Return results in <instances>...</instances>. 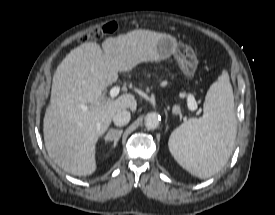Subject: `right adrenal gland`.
<instances>
[{
	"label": "right adrenal gland",
	"instance_id": "right-adrenal-gland-1",
	"mask_svg": "<svg viewBox=\"0 0 275 215\" xmlns=\"http://www.w3.org/2000/svg\"><path fill=\"white\" fill-rule=\"evenodd\" d=\"M123 133V130H115V129H110L109 132L107 133L105 139V142H111L113 141V147H116L121 135Z\"/></svg>",
	"mask_w": 275,
	"mask_h": 215
}]
</instances>
